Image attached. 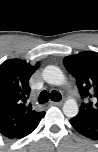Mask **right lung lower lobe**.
I'll return each instance as SVG.
<instances>
[{
	"label": "right lung lower lobe",
	"instance_id": "98d812e1",
	"mask_svg": "<svg viewBox=\"0 0 98 152\" xmlns=\"http://www.w3.org/2000/svg\"><path fill=\"white\" fill-rule=\"evenodd\" d=\"M44 115H42L41 117L36 119L31 125H29L27 128H25L24 130H22L18 134L14 135L13 137H10V139L23 138V137L27 136L28 134H30L38 126L40 120L44 117Z\"/></svg>",
	"mask_w": 98,
	"mask_h": 152
}]
</instances>
